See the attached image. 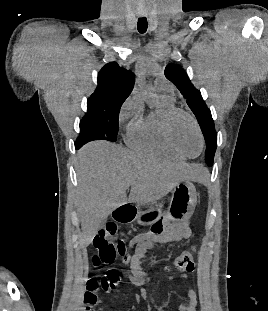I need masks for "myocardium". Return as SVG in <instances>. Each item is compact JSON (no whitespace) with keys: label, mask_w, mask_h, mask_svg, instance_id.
Here are the masks:
<instances>
[{"label":"myocardium","mask_w":268,"mask_h":311,"mask_svg":"<svg viewBox=\"0 0 268 311\" xmlns=\"http://www.w3.org/2000/svg\"><path fill=\"white\" fill-rule=\"evenodd\" d=\"M179 115H185L190 119L192 122L193 126L195 127L199 139H200V149L199 152L196 155H189L186 152H184L176 143L174 136H173V122L175 118ZM163 133L164 137L168 143V145L179 155H181L184 158H195L197 157L203 150L204 148V135L202 133V130L200 128V125L196 118L187 110L179 108V107H172L169 108L163 117Z\"/></svg>","instance_id":"1"}]
</instances>
